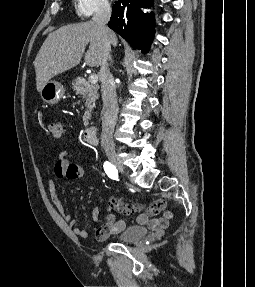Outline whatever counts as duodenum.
Masks as SVG:
<instances>
[{
	"mask_svg": "<svg viewBox=\"0 0 255 287\" xmlns=\"http://www.w3.org/2000/svg\"><path fill=\"white\" fill-rule=\"evenodd\" d=\"M84 141L89 145H94L97 142L96 128L94 126H88L83 131Z\"/></svg>",
	"mask_w": 255,
	"mask_h": 287,
	"instance_id": "410a0bca",
	"label": "duodenum"
}]
</instances>
